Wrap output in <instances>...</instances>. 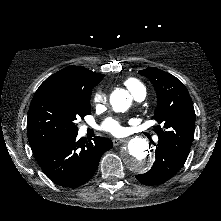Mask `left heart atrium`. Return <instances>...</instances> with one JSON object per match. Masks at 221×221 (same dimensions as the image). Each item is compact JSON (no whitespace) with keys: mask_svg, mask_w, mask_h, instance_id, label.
Segmentation results:
<instances>
[{"mask_svg":"<svg viewBox=\"0 0 221 221\" xmlns=\"http://www.w3.org/2000/svg\"><path fill=\"white\" fill-rule=\"evenodd\" d=\"M103 129L114 135H120L123 132L120 122L114 119L106 120L103 124Z\"/></svg>","mask_w":221,"mask_h":221,"instance_id":"1","label":"left heart atrium"}]
</instances>
